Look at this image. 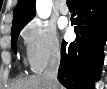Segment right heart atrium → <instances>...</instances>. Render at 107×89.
Listing matches in <instances>:
<instances>
[{
	"mask_svg": "<svg viewBox=\"0 0 107 89\" xmlns=\"http://www.w3.org/2000/svg\"><path fill=\"white\" fill-rule=\"evenodd\" d=\"M27 60L34 72L42 71L60 56L61 46L56 30L45 22L34 20L22 31Z\"/></svg>",
	"mask_w": 107,
	"mask_h": 89,
	"instance_id": "d8ad5b80",
	"label": "right heart atrium"
}]
</instances>
